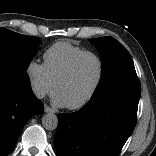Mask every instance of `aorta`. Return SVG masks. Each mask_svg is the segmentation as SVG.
<instances>
[{
	"instance_id": "aorta-1",
	"label": "aorta",
	"mask_w": 156,
	"mask_h": 156,
	"mask_svg": "<svg viewBox=\"0 0 156 156\" xmlns=\"http://www.w3.org/2000/svg\"><path fill=\"white\" fill-rule=\"evenodd\" d=\"M42 125L46 130H55L58 126V118L53 113H47L42 117Z\"/></svg>"
}]
</instances>
